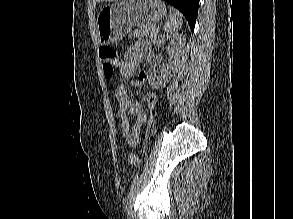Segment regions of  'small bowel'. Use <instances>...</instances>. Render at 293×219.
<instances>
[{"instance_id":"obj_1","label":"small bowel","mask_w":293,"mask_h":219,"mask_svg":"<svg viewBox=\"0 0 293 219\" xmlns=\"http://www.w3.org/2000/svg\"><path fill=\"white\" fill-rule=\"evenodd\" d=\"M148 50L149 43L146 41H138L127 50L120 67V74L124 79L129 78L134 74L139 62ZM146 79V73L140 72L133 85L141 87L145 84ZM115 97L118 102V114L122 120V136L125 138L129 146L135 147L139 142L140 133L147 121V116L143 112L141 104L130 97L128 87L124 81L118 83ZM156 101V94L152 92L148 93V107L153 108ZM129 116L134 117L133 122H130Z\"/></svg>"}]
</instances>
